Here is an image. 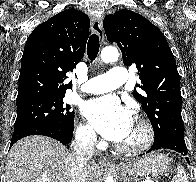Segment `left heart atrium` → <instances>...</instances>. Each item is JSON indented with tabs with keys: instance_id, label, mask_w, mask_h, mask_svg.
I'll use <instances>...</instances> for the list:
<instances>
[{
	"instance_id": "obj_1",
	"label": "left heart atrium",
	"mask_w": 196,
	"mask_h": 182,
	"mask_svg": "<svg viewBox=\"0 0 196 182\" xmlns=\"http://www.w3.org/2000/svg\"><path fill=\"white\" fill-rule=\"evenodd\" d=\"M83 114L104 138L116 143L128 134L133 124L131 112L113 95L89 100Z\"/></svg>"
}]
</instances>
